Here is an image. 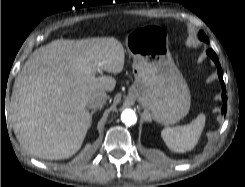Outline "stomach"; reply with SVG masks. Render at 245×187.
<instances>
[{"instance_id":"0dacf381","label":"stomach","mask_w":245,"mask_h":187,"mask_svg":"<svg viewBox=\"0 0 245 187\" xmlns=\"http://www.w3.org/2000/svg\"><path fill=\"white\" fill-rule=\"evenodd\" d=\"M126 48L133 57L135 81L129 96L137 100L157 122L170 125L190 109V91L168 50L167 31L148 25L132 31Z\"/></svg>"}]
</instances>
